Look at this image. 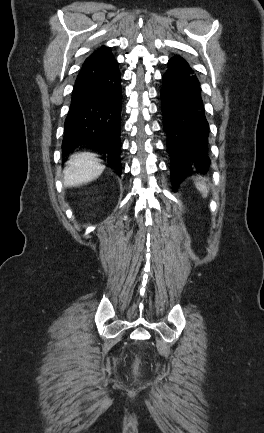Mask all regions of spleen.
<instances>
[{
    "mask_svg": "<svg viewBox=\"0 0 264 433\" xmlns=\"http://www.w3.org/2000/svg\"><path fill=\"white\" fill-rule=\"evenodd\" d=\"M195 185L196 188L202 193V195L206 197L209 192V188L207 187V185L204 182H197Z\"/></svg>",
    "mask_w": 264,
    "mask_h": 433,
    "instance_id": "1",
    "label": "spleen"
}]
</instances>
